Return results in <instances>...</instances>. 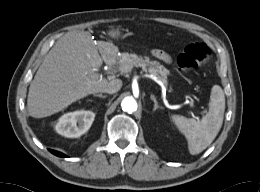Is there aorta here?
<instances>
[{
  "mask_svg": "<svg viewBox=\"0 0 260 192\" xmlns=\"http://www.w3.org/2000/svg\"><path fill=\"white\" fill-rule=\"evenodd\" d=\"M121 107L124 112L133 113L137 110V102L133 97L128 96L122 100Z\"/></svg>",
  "mask_w": 260,
  "mask_h": 192,
  "instance_id": "762f6f07",
  "label": "aorta"
}]
</instances>
